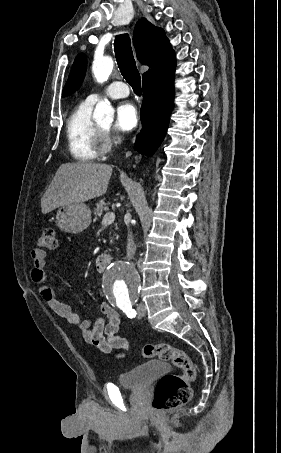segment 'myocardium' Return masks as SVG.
<instances>
[{
	"label": "myocardium",
	"mask_w": 281,
	"mask_h": 453,
	"mask_svg": "<svg viewBox=\"0 0 281 453\" xmlns=\"http://www.w3.org/2000/svg\"><path fill=\"white\" fill-rule=\"evenodd\" d=\"M108 132V129L98 126V150L102 154L108 153L113 148Z\"/></svg>",
	"instance_id": "1"
}]
</instances>
